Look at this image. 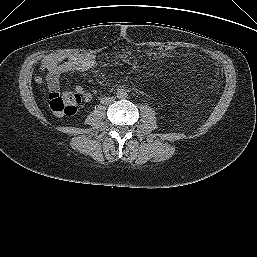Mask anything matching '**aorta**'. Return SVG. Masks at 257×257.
<instances>
[{
  "label": "aorta",
  "instance_id": "762f6f07",
  "mask_svg": "<svg viewBox=\"0 0 257 257\" xmlns=\"http://www.w3.org/2000/svg\"><path fill=\"white\" fill-rule=\"evenodd\" d=\"M116 95L118 99L123 100L127 98L128 93L125 89H118Z\"/></svg>",
  "mask_w": 257,
  "mask_h": 257
}]
</instances>
